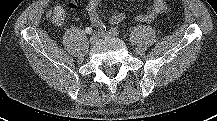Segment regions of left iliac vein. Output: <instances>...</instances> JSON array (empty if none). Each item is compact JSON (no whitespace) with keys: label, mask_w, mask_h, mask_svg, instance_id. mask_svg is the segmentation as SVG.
Here are the masks:
<instances>
[{"label":"left iliac vein","mask_w":217,"mask_h":121,"mask_svg":"<svg viewBox=\"0 0 217 121\" xmlns=\"http://www.w3.org/2000/svg\"><path fill=\"white\" fill-rule=\"evenodd\" d=\"M101 36H103V37H116L115 34H113L112 32H109V31L102 33Z\"/></svg>","instance_id":"1"}]
</instances>
